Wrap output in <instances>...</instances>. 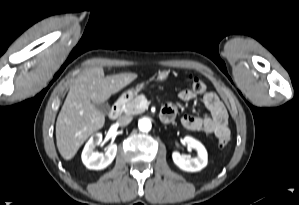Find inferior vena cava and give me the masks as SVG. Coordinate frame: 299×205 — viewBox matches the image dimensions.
Returning a JSON list of instances; mask_svg holds the SVG:
<instances>
[{
  "label": "inferior vena cava",
  "mask_w": 299,
  "mask_h": 205,
  "mask_svg": "<svg viewBox=\"0 0 299 205\" xmlns=\"http://www.w3.org/2000/svg\"><path fill=\"white\" fill-rule=\"evenodd\" d=\"M132 121V117L128 115H122L118 118V123L121 126H126Z\"/></svg>",
  "instance_id": "1"
}]
</instances>
